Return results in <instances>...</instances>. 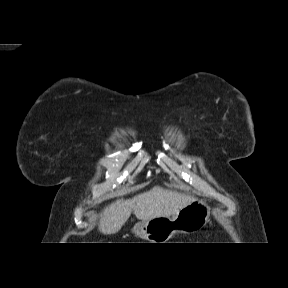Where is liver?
I'll list each match as a JSON object with an SVG mask.
<instances>
[{
    "label": "liver",
    "mask_w": 288,
    "mask_h": 288,
    "mask_svg": "<svg viewBox=\"0 0 288 288\" xmlns=\"http://www.w3.org/2000/svg\"><path fill=\"white\" fill-rule=\"evenodd\" d=\"M193 200L191 196L155 186L132 199H118L107 206L101 214L98 230L106 235L117 233L132 212L142 221L160 216H172Z\"/></svg>",
    "instance_id": "liver-1"
}]
</instances>
